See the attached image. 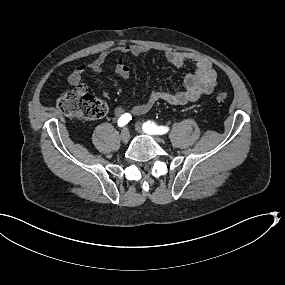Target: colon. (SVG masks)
<instances>
[{
  "mask_svg": "<svg viewBox=\"0 0 285 285\" xmlns=\"http://www.w3.org/2000/svg\"><path fill=\"white\" fill-rule=\"evenodd\" d=\"M228 98L225 91L216 95V100L223 103ZM57 108L71 120H94L107 113V105L102 100L80 90L63 93L57 100Z\"/></svg>",
  "mask_w": 285,
  "mask_h": 285,
  "instance_id": "obj_1",
  "label": "colon"
}]
</instances>
